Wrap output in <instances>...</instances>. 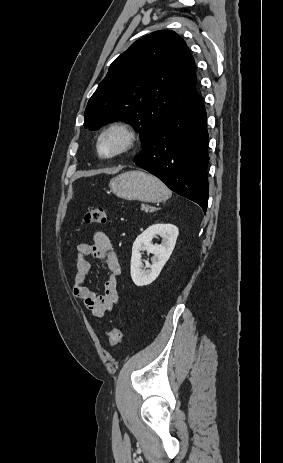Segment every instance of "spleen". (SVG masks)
Wrapping results in <instances>:
<instances>
[{
	"instance_id": "1",
	"label": "spleen",
	"mask_w": 283,
	"mask_h": 463,
	"mask_svg": "<svg viewBox=\"0 0 283 463\" xmlns=\"http://www.w3.org/2000/svg\"><path fill=\"white\" fill-rule=\"evenodd\" d=\"M168 189V188H167ZM171 196V191L168 189V197L166 199H168L169 197ZM165 199V200H166Z\"/></svg>"
}]
</instances>
